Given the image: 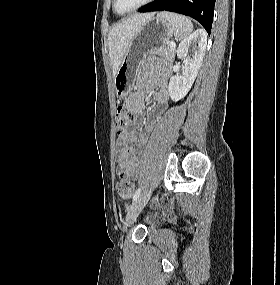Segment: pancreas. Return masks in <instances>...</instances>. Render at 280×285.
<instances>
[{"label": "pancreas", "mask_w": 280, "mask_h": 285, "mask_svg": "<svg viewBox=\"0 0 280 285\" xmlns=\"http://www.w3.org/2000/svg\"><path fill=\"white\" fill-rule=\"evenodd\" d=\"M150 53L158 54L164 57L165 59L172 61L175 55V48L170 47L169 45L167 46L164 45L162 47L152 50Z\"/></svg>", "instance_id": "cf45deb5"}]
</instances>
